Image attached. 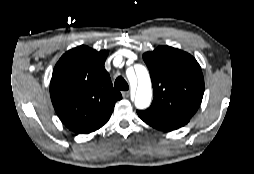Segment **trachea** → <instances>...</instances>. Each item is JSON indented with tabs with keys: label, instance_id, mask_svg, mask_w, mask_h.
<instances>
[{
	"label": "trachea",
	"instance_id": "obj_1",
	"mask_svg": "<svg viewBox=\"0 0 254 174\" xmlns=\"http://www.w3.org/2000/svg\"><path fill=\"white\" fill-rule=\"evenodd\" d=\"M115 88L126 91L129 89L128 83L123 77H118L114 83Z\"/></svg>",
	"mask_w": 254,
	"mask_h": 174
}]
</instances>
